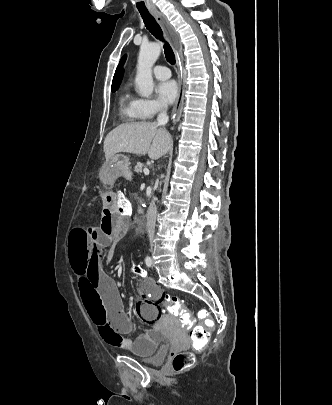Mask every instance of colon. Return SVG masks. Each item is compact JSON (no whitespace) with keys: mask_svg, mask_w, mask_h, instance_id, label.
<instances>
[{"mask_svg":"<svg viewBox=\"0 0 332 405\" xmlns=\"http://www.w3.org/2000/svg\"><path fill=\"white\" fill-rule=\"evenodd\" d=\"M118 202L116 204L115 213L121 217H128L132 214V206L126 195L122 192H117ZM132 272L138 273L140 278L146 277L144 267L140 266L138 262L132 263ZM164 306L171 314L177 316L185 328H192L194 321L191 319V313L188 307H185L182 301L174 295H165L163 297ZM198 323L191 331V340L196 347H203L211 333L213 327V316L206 315L205 311H200L198 316ZM193 363V356L186 351L174 352L172 354V367L175 371H182L190 367Z\"/></svg>","mask_w":332,"mask_h":405,"instance_id":"colon-1","label":"colon"}]
</instances>
